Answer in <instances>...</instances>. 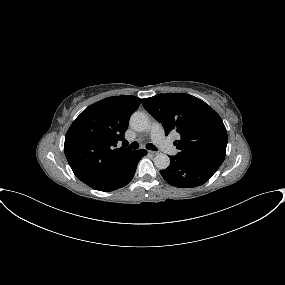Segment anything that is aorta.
Instances as JSON below:
<instances>
[{
    "instance_id": "aorta-1",
    "label": "aorta",
    "mask_w": 285,
    "mask_h": 285,
    "mask_svg": "<svg viewBox=\"0 0 285 285\" xmlns=\"http://www.w3.org/2000/svg\"><path fill=\"white\" fill-rule=\"evenodd\" d=\"M130 126L135 131H144L149 127V118L145 113L135 112L130 117ZM154 164L158 169L164 170L169 167L170 158L168 157V155L163 153L157 154L154 157Z\"/></svg>"
}]
</instances>
